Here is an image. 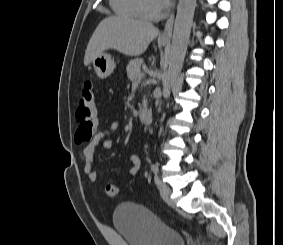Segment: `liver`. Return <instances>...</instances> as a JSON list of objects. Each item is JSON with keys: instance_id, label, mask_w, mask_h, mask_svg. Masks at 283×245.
Segmentation results:
<instances>
[{"instance_id": "1", "label": "liver", "mask_w": 283, "mask_h": 245, "mask_svg": "<svg viewBox=\"0 0 283 245\" xmlns=\"http://www.w3.org/2000/svg\"><path fill=\"white\" fill-rule=\"evenodd\" d=\"M158 33V28L148 22L121 16L105 18L88 43L84 65L88 66L94 58L109 49L127 56H139Z\"/></svg>"}]
</instances>
